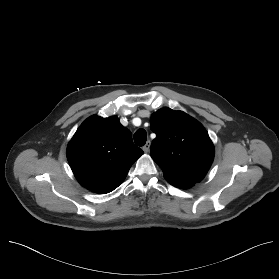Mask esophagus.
<instances>
[{"mask_svg": "<svg viewBox=\"0 0 279 279\" xmlns=\"http://www.w3.org/2000/svg\"><path fill=\"white\" fill-rule=\"evenodd\" d=\"M149 148H150V141H147V143L143 146V151L145 153H148L149 152Z\"/></svg>", "mask_w": 279, "mask_h": 279, "instance_id": "34e87169", "label": "esophagus"}]
</instances>
